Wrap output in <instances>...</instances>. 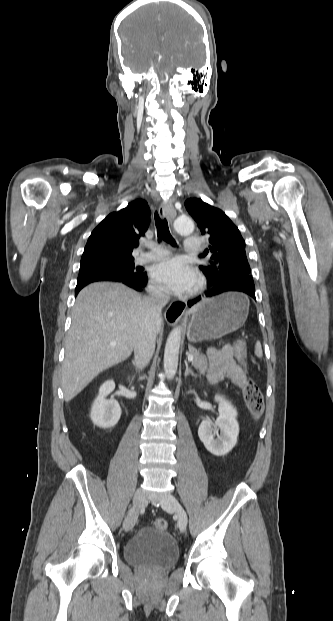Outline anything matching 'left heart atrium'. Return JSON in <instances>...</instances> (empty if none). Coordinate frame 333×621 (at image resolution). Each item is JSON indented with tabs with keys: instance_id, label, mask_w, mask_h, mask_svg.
Here are the masks:
<instances>
[{
	"instance_id": "1",
	"label": "left heart atrium",
	"mask_w": 333,
	"mask_h": 621,
	"mask_svg": "<svg viewBox=\"0 0 333 621\" xmlns=\"http://www.w3.org/2000/svg\"><path fill=\"white\" fill-rule=\"evenodd\" d=\"M151 277L167 291L182 294L193 290L197 284L196 273L182 260H164L153 266Z\"/></svg>"
}]
</instances>
